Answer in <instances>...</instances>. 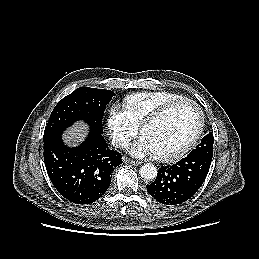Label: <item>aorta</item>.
Listing matches in <instances>:
<instances>
[{
  "label": "aorta",
  "instance_id": "762f6f07",
  "mask_svg": "<svg viewBox=\"0 0 259 259\" xmlns=\"http://www.w3.org/2000/svg\"><path fill=\"white\" fill-rule=\"evenodd\" d=\"M140 176L145 180H153L157 176V168L151 164L147 163L142 165L140 168Z\"/></svg>",
  "mask_w": 259,
  "mask_h": 259
}]
</instances>
